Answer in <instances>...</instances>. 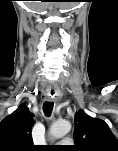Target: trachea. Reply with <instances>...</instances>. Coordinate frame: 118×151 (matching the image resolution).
<instances>
[{"instance_id":"trachea-1","label":"trachea","mask_w":118,"mask_h":151,"mask_svg":"<svg viewBox=\"0 0 118 151\" xmlns=\"http://www.w3.org/2000/svg\"><path fill=\"white\" fill-rule=\"evenodd\" d=\"M54 103L53 102H44L43 104V112L46 116H50L53 110Z\"/></svg>"}]
</instances>
